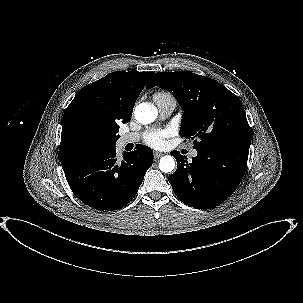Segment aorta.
Listing matches in <instances>:
<instances>
[{
  "label": "aorta",
  "instance_id": "aorta-1",
  "mask_svg": "<svg viewBox=\"0 0 303 303\" xmlns=\"http://www.w3.org/2000/svg\"><path fill=\"white\" fill-rule=\"evenodd\" d=\"M157 109L154 105L148 103H141L135 108V118L142 124L152 123L157 117ZM175 168V160L172 156L166 155L161 157L159 169L162 172H172Z\"/></svg>",
  "mask_w": 303,
  "mask_h": 303
}]
</instances>
